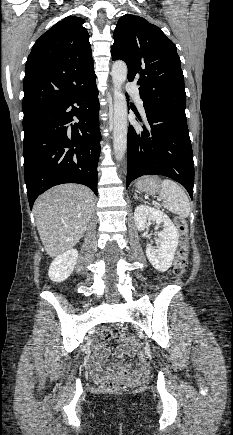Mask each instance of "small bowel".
Segmentation results:
<instances>
[{
  "mask_svg": "<svg viewBox=\"0 0 233 435\" xmlns=\"http://www.w3.org/2000/svg\"><path fill=\"white\" fill-rule=\"evenodd\" d=\"M106 354H107V351L103 348L100 351H98L99 357H104V356H106ZM115 354L118 356L127 355L129 357H137L140 359V354H139L138 350L129 346V345H121V346L117 347L115 350ZM126 371L127 372L130 371V369H127ZM138 371L142 374H144L147 371L146 364L144 362H142L141 360H140V363L138 365ZM90 372H91L92 377L95 379H100L104 375V370L102 369V367L100 366V364L98 362H93L91 364Z\"/></svg>",
  "mask_w": 233,
  "mask_h": 435,
  "instance_id": "c3829d8e",
  "label": "small bowel"
}]
</instances>
